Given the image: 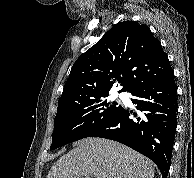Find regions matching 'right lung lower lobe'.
<instances>
[{
  "mask_svg": "<svg viewBox=\"0 0 194 178\" xmlns=\"http://www.w3.org/2000/svg\"><path fill=\"white\" fill-rule=\"evenodd\" d=\"M132 102L142 111L132 120L122 108L88 137H102L123 143L150 158L167 178L178 111L177 86L172 72L161 81L141 86L131 92ZM136 116V114H134Z\"/></svg>",
  "mask_w": 194,
  "mask_h": 178,
  "instance_id": "obj_1",
  "label": "right lung lower lobe"
}]
</instances>
